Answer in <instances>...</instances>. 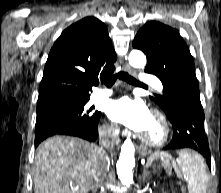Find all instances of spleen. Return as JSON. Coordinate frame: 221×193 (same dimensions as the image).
<instances>
[{
    "label": "spleen",
    "instance_id": "obj_1",
    "mask_svg": "<svg viewBox=\"0 0 221 193\" xmlns=\"http://www.w3.org/2000/svg\"><path fill=\"white\" fill-rule=\"evenodd\" d=\"M176 161L178 175L188 183L189 193H206L208 184L207 165L204 159L191 150H180Z\"/></svg>",
    "mask_w": 221,
    "mask_h": 193
}]
</instances>
